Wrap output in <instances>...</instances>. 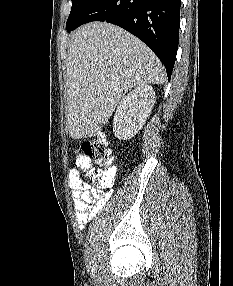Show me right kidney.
<instances>
[{"label": "right kidney", "mask_w": 233, "mask_h": 286, "mask_svg": "<svg viewBox=\"0 0 233 286\" xmlns=\"http://www.w3.org/2000/svg\"><path fill=\"white\" fill-rule=\"evenodd\" d=\"M154 104L155 92L148 84L139 85L124 96L113 119L115 136L127 140L136 135L150 115Z\"/></svg>", "instance_id": "ca27d5eb"}]
</instances>
